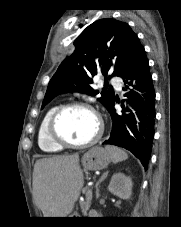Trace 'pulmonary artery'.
<instances>
[{"label":"pulmonary artery","instance_id":"1","mask_svg":"<svg viewBox=\"0 0 181 227\" xmlns=\"http://www.w3.org/2000/svg\"><path fill=\"white\" fill-rule=\"evenodd\" d=\"M110 82H111L112 84H114V85L116 86L117 89H120V83H119V79H118V78H112V79L110 80Z\"/></svg>","mask_w":181,"mask_h":227}]
</instances>
